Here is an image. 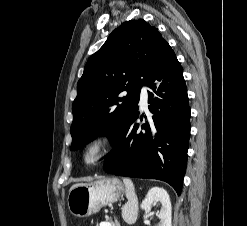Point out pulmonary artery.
<instances>
[{"mask_svg": "<svg viewBox=\"0 0 247 226\" xmlns=\"http://www.w3.org/2000/svg\"><path fill=\"white\" fill-rule=\"evenodd\" d=\"M148 93L147 88L143 86L140 93V103L143 108L147 107Z\"/></svg>", "mask_w": 247, "mask_h": 226, "instance_id": "obj_1", "label": "pulmonary artery"}]
</instances>
